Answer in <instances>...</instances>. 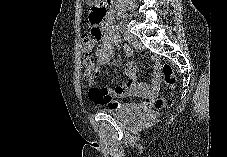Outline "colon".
<instances>
[{"label":"colon","instance_id":"colon-1","mask_svg":"<svg viewBox=\"0 0 227 157\" xmlns=\"http://www.w3.org/2000/svg\"><path fill=\"white\" fill-rule=\"evenodd\" d=\"M89 16H98L96 9H92ZM99 36H100L99 32H93L92 35L83 34L81 37L82 47L85 55V59L83 63L84 79L88 85L94 84L100 71L98 64L95 62L94 58L92 57V51L96 40L99 39ZM163 77L166 85L172 88L176 80H175L174 72L169 64L163 65ZM153 104L156 109H161L165 106L166 99L158 98L154 101Z\"/></svg>","mask_w":227,"mask_h":157}]
</instances>
